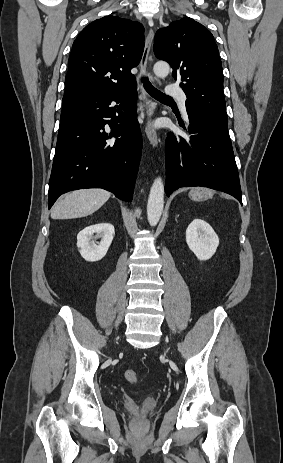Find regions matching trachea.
I'll return each instance as SVG.
<instances>
[{
    "instance_id": "3493384b",
    "label": "trachea",
    "mask_w": 283,
    "mask_h": 463,
    "mask_svg": "<svg viewBox=\"0 0 283 463\" xmlns=\"http://www.w3.org/2000/svg\"><path fill=\"white\" fill-rule=\"evenodd\" d=\"M142 82L144 83L145 90L152 96L153 98L160 100V101H172L173 99L166 94L162 93L160 90L155 88L148 80V78H142Z\"/></svg>"
}]
</instances>
